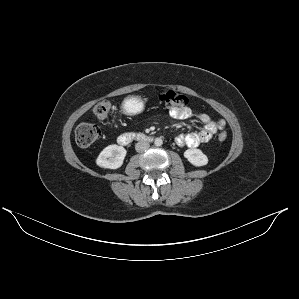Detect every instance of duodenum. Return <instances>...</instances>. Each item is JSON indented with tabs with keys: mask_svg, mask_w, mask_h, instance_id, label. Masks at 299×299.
<instances>
[{
	"mask_svg": "<svg viewBox=\"0 0 299 299\" xmlns=\"http://www.w3.org/2000/svg\"><path fill=\"white\" fill-rule=\"evenodd\" d=\"M117 140L120 145H127L133 141L151 142L152 137L141 133H124Z\"/></svg>",
	"mask_w": 299,
	"mask_h": 299,
	"instance_id": "duodenum-1",
	"label": "duodenum"
}]
</instances>
